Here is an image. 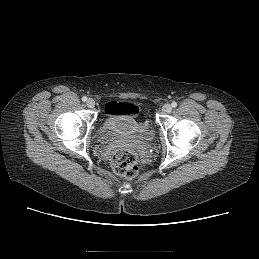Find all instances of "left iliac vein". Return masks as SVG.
Instances as JSON below:
<instances>
[{"label":"left iliac vein","instance_id":"left-iliac-vein-1","mask_svg":"<svg viewBox=\"0 0 259 259\" xmlns=\"http://www.w3.org/2000/svg\"><path fill=\"white\" fill-rule=\"evenodd\" d=\"M162 111L164 113H170L172 111V106L170 104H164L162 107Z\"/></svg>","mask_w":259,"mask_h":259}]
</instances>
